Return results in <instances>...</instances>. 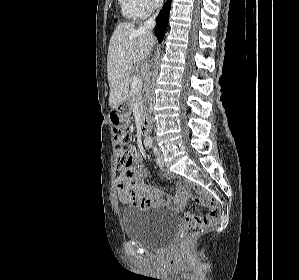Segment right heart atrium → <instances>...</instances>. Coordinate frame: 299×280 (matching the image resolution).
Returning <instances> with one entry per match:
<instances>
[{"label":"right heart atrium","mask_w":299,"mask_h":280,"mask_svg":"<svg viewBox=\"0 0 299 280\" xmlns=\"http://www.w3.org/2000/svg\"><path fill=\"white\" fill-rule=\"evenodd\" d=\"M141 9L148 14L154 11L160 4L161 0H137Z\"/></svg>","instance_id":"1"}]
</instances>
